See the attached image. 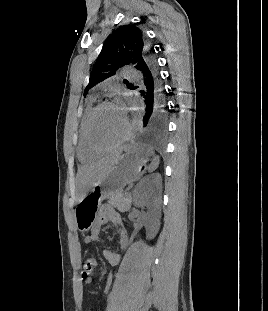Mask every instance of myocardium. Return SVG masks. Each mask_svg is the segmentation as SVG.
Listing matches in <instances>:
<instances>
[{"label": "myocardium", "mask_w": 268, "mask_h": 311, "mask_svg": "<svg viewBox=\"0 0 268 311\" xmlns=\"http://www.w3.org/2000/svg\"><path fill=\"white\" fill-rule=\"evenodd\" d=\"M107 106H114L113 103L109 102V101H103L99 104H97L89 113L87 119H86V123H85V138H86V142L87 145L89 146V148L94 151L95 153H105V152H109L112 151L118 147H120L121 145H123L131 136V124L128 121V119L125 117V121H126V131L124 133V135L114 144L107 146V147H101L99 145H97L95 143V141L93 140L92 137V124L94 121L95 116L97 115V113L107 107Z\"/></svg>", "instance_id": "myocardium-1"}]
</instances>
